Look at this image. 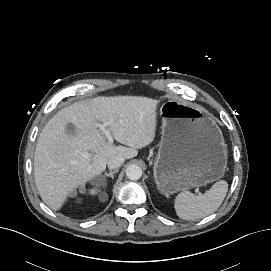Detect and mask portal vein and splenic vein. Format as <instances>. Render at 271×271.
Segmentation results:
<instances>
[{
    "instance_id": "portal-vein-and-splenic-vein-1",
    "label": "portal vein and splenic vein",
    "mask_w": 271,
    "mask_h": 271,
    "mask_svg": "<svg viewBox=\"0 0 271 271\" xmlns=\"http://www.w3.org/2000/svg\"><path fill=\"white\" fill-rule=\"evenodd\" d=\"M99 128L105 134V136H106V138L108 140V143L112 144L113 143V137H112L111 132L108 129H106V125L105 124H100ZM82 155H83V157H89L90 156V154L87 153V152H84ZM196 192L198 193L199 190L196 189Z\"/></svg>"
}]
</instances>
